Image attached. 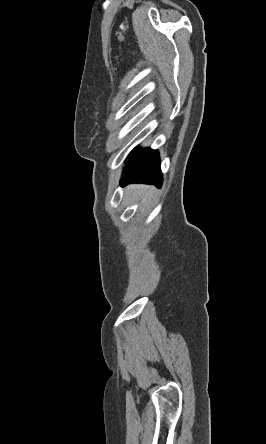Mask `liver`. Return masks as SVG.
Instances as JSON below:
<instances>
[{
  "instance_id": "liver-1",
  "label": "liver",
  "mask_w": 266,
  "mask_h": 444,
  "mask_svg": "<svg viewBox=\"0 0 266 444\" xmlns=\"http://www.w3.org/2000/svg\"><path fill=\"white\" fill-rule=\"evenodd\" d=\"M128 192H131L136 199L141 198L142 203L145 204L147 199L152 197L154 189L152 187H147L143 185L130 186L128 188Z\"/></svg>"
}]
</instances>
